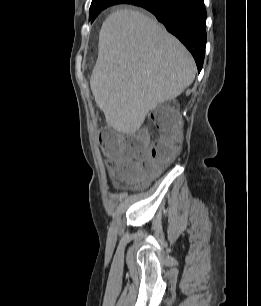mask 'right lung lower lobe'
<instances>
[{
	"label": "right lung lower lobe",
	"instance_id": "1",
	"mask_svg": "<svg viewBox=\"0 0 261 306\" xmlns=\"http://www.w3.org/2000/svg\"><path fill=\"white\" fill-rule=\"evenodd\" d=\"M153 13L166 29L191 52L202 69L206 45V10L204 0H128Z\"/></svg>",
	"mask_w": 261,
	"mask_h": 306
}]
</instances>
